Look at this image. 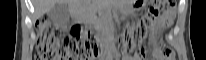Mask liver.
Listing matches in <instances>:
<instances>
[{"instance_id": "liver-1", "label": "liver", "mask_w": 206, "mask_h": 60, "mask_svg": "<svg viewBox=\"0 0 206 60\" xmlns=\"http://www.w3.org/2000/svg\"><path fill=\"white\" fill-rule=\"evenodd\" d=\"M61 1L69 2V0H33L34 19L40 18Z\"/></svg>"}]
</instances>
